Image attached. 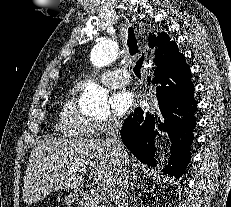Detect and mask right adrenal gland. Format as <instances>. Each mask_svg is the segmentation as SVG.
I'll return each mask as SVG.
<instances>
[{
    "label": "right adrenal gland",
    "instance_id": "2a0ac1e0",
    "mask_svg": "<svg viewBox=\"0 0 231 207\" xmlns=\"http://www.w3.org/2000/svg\"><path fill=\"white\" fill-rule=\"evenodd\" d=\"M132 187H131V190H133V183H131Z\"/></svg>",
    "mask_w": 231,
    "mask_h": 207
}]
</instances>
